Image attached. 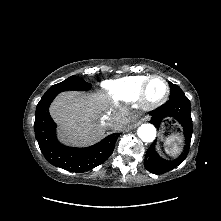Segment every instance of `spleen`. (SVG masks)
<instances>
[{
  "mask_svg": "<svg viewBox=\"0 0 221 221\" xmlns=\"http://www.w3.org/2000/svg\"><path fill=\"white\" fill-rule=\"evenodd\" d=\"M182 138L178 135H174L168 138L166 141L165 151L167 154L176 155L180 151L179 143Z\"/></svg>",
  "mask_w": 221,
  "mask_h": 221,
  "instance_id": "obj_1",
  "label": "spleen"
}]
</instances>
